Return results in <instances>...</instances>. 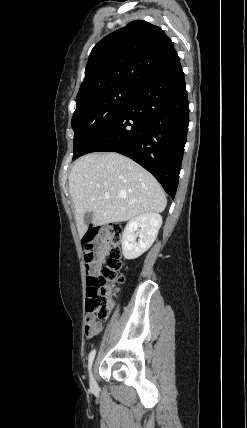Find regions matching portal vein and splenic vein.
Returning <instances> with one entry per match:
<instances>
[{
    "instance_id": "18ae733b",
    "label": "portal vein and splenic vein",
    "mask_w": 247,
    "mask_h": 428,
    "mask_svg": "<svg viewBox=\"0 0 247 428\" xmlns=\"http://www.w3.org/2000/svg\"><path fill=\"white\" fill-rule=\"evenodd\" d=\"M104 198H105V199H108V198H109V195H108V194H106V195L104 196Z\"/></svg>"
}]
</instances>
